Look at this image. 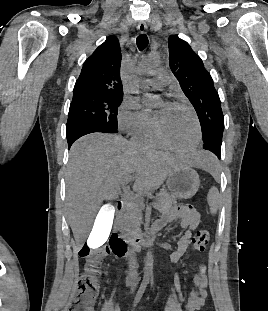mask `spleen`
<instances>
[{"label": "spleen", "mask_w": 268, "mask_h": 311, "mask_svg": "<svg viewBox=\"0 0 268 311\" xmlns=\"http://www.w3.org/2000/svg\"><path fill=\"white\" fill-rule=\"evenodd\" d=\"M210 161H213V158ZM207 202L210 207V213L213 215L216 214L220 207L221 195L215 186L210 188L207 194Z\"/></svg>", "instance_id": "obj_1"}]
</instances>
